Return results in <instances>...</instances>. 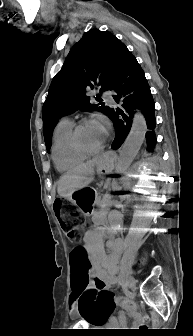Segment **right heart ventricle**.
I'll return each mask as SVG.
<instances>
[{
  "label": "right heart ventricle",
  "instance_id": "1",
  "mask_svg": "<svg viewBox=\"0 0 193 336\" xmlns=\"http://www.w3.org/2000/svg\"><path fill=\"white\" fill-rule=\"evenodd\" d=\"M73 127L70 121L60 122L54 131L52 158L56 168L61 172L74 169L86 158L72 147L70 136Z\"/></svg>",
  "mask_w": 193,
  "mask_h": 336
}]
</instances>
